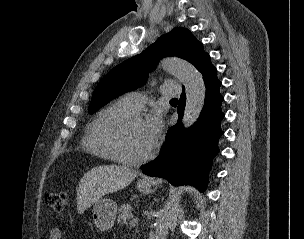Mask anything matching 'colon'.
Masks as SVG:
<instances>
[{"label":"colon","instance_id":"obj_1","mask_svg":"<svg viewBox=\"0 0 304 239\" xmlns=\"http://www.w3.org/2000/svg\"><path fill=\"white\" fill-rule=\"evenodd\" d=\"M46 203L56 212H62L67 206L68 195L66 192H55L46 195Z\"/></svg>","mask_w":304,"mask_h":239}]
</instances>
